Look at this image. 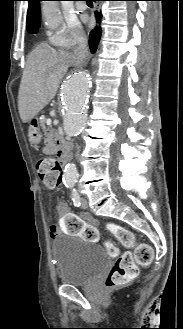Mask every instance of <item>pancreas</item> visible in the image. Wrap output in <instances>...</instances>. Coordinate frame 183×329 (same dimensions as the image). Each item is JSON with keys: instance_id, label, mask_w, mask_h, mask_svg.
Returning <instances> with one entry per match:
<instances>
[{"instance_id": "cf45deb5", "label": "pancreas", "mask_w": 183, "mask_h": 329, "mask_svg": "<svg viewBox=\"0 0 183 329\" xmlns=\"http://www.w3.org/2000/svg\"><path fill=\"white\" fill-rule=\"evenodd\" d=\"M40 125H41L42 129L44 130V132H47L49 130V128L46 127V118L45 117H43L40 120Z\"/></svg>"}]
</instances>
